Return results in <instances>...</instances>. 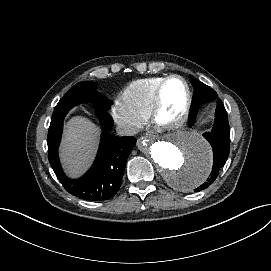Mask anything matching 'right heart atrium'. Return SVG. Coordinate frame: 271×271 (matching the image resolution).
<instances>
[{
	"instance_id": "right-heart-atrium-1",
	"label": "right heart atrium",
	"mask_w": 271,
	"mask_h": 271,
	"mask_svg": "<svg viewBox=\"0 0 271 271\" xmlns=\"http://www.w3.org/2000/svg\"><path fill=\"white\" fill-rule=\"evenodd\" d=\"M111 114L117 122H125L129 132L135 133L142 125V122L133 117L120 99H116L111 106Z\"/></svg>"
}]
</instances>
